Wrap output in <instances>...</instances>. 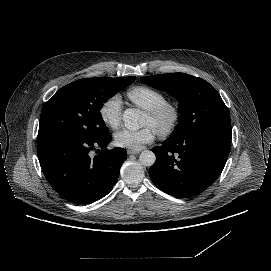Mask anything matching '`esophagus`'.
<instances>
[{
    "mask_svg": "<svg viewBox=\"0 0 271 271\" xmlns=\"http://www.w3.org/2000/svg\"><path fill=\"white\" fill-rule=\"evenodd\" d=\"M141 152V149H128V154H139Z\"/></svg>",
    "mask_w": 271,
    "mask_h": 271,
    "instance_id": "obj_1",
    "label": "esophagus"
}]
</instances>
